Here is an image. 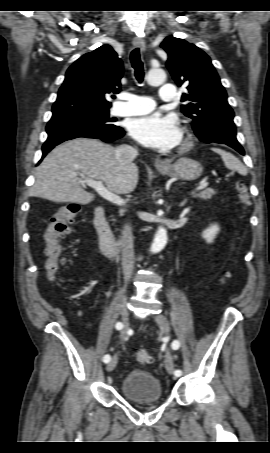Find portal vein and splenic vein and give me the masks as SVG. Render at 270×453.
Here are the masks:
<instances>
[{"instance_id":"1","label":"portal vein and splenic vein","mask_w":270,"mask_h":453,"mask_svg":"<svg viewBox=\"0 0 270 453\" xmlns=\"http://www.w3.org/2000/svg\"><path fill=\"white\" fill-rule=\"evenodd\" d=\"M83 182L86 183L91 188H93L105 200H107V201H109V202H111L113 204H116L118 206L124 205L125 201L120 196H118V195L110 192L109 190H107L104 187L102 181H96V180L89 179V178H83ZM207 186H208V182L205 179V180H203L200 183V185L198 187H196L193 190V192H197V191L203 190Z\"/></svg>"}]
</instances>
